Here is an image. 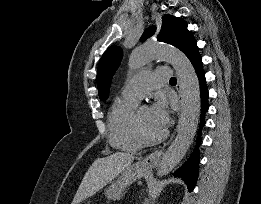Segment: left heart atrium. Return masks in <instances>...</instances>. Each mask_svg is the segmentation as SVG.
I'll use <instances>...</instances> for the list:
<instances>
[{
  "instance_id": "1",
  "label": "left heart atrium",
  "mask_w": 261,
  "mask_h": 204,
  "mask_svg": "<svg viewBox=\"0 0 261 204\" xmlns=\"http://www.w3.org/2000/svg\"><path fill=\"white\" fill-rule=\"evenodd\" d=\"M152 118L155 126L164 131L169 123V109L167 101L162 97L158 96L151 106Z\"/></svg>"
}]
</instances>
